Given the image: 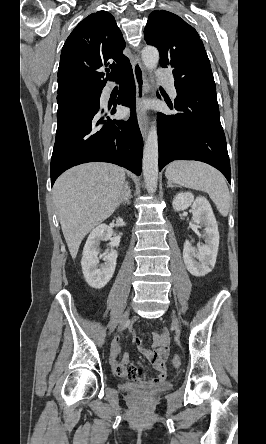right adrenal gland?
Segmentation results:
<instances>
[{"mask_svg":"<svg viewBox=\"0 0 266 444\" xmlns=\"http://www.w3.org/2000/svg\"><path fill=\"white\" fill-rule=\"evenodd\" d=\"M127 189H128L127 192H123L121 194L119 202H118V205H117V208H119L120 205H126V204L130 203L129 199L131 198V195H130V190H129L128 186H127Z\"/></svg>","mask_w":266,"mask_h":444,"instance_id":"obj_1","label":"right adrenal gland"}]
</instances>
